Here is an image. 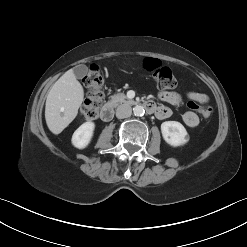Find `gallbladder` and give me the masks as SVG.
I'll use <instances>...</instances> for the list:
<instances>
[{
  "mask_svg": "<svg viewBox=\"0 0 247 247\" xmlns=\"http://www.w3.org/2000/svg\"><path fill=\"white\" fill-rule=\"evenodd\" d=\"M73 72L77 78H81L88 72V69L85 65H78L74 68Z\"/></svg>",
  "mask_w": 247,
  "mask_h": 247,
  "instance_id": "gallbladder-1",
  "label": "gallbladder"
}]
</instances>
